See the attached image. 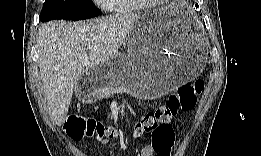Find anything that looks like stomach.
<instances>
[{
    "label": "stomach",
    "instance_id": "1",
    "mask_svg": "<svg viewBox=\"0 0 261 156\" xmlns=\"http://www.w3.org/2000/svg\"><path fill=\"white\" fill-rule=\"evenodd\" d=\"M127 46V54L118 52L81 76L90 99L116 92L154 99L196 78L207 60L202 36L185 6L141 15L128 33Z\"/></svg>",
    "mask_w": 261,
    "mask_h": 156
}]
</instances>
